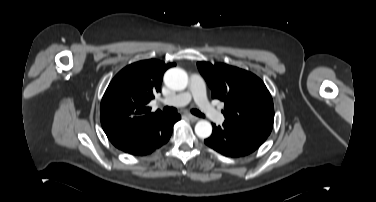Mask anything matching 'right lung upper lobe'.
I'll return each mask as SVG.
<instances>
[{
  "mask_svg": "<svg viewBox=\"0 0 376 202\" xmlns=\"http://www.w3.org/2000/svg\"><path fill=\"white\" fill-rule=\"evenodd\" d=\"M174 65L154 59L139 61L126 66L113 78L100 106L101 124L110 141L163 115L159 110L151 113L147 104L161 91L164 72Z\"/></svg>",
  "mask_w": 376,
  "mask_h": 202,
  "instance_id": "obj_1",
  "label": "right lung upper lobe"
}]
</instances>
